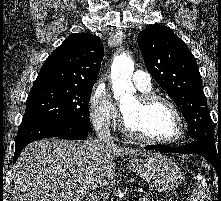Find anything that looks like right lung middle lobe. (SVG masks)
<instances>
[{
	"mask_svg": "<svg viewBox=\"0 0 221 201\" xmlns=\"http://www.w3.org/2000/svg\"><path fill=\"white\" fill-rule=\"evenodd\" d=\"M91 92V89L32 88L22 123L51 120L91 129L88 108Z\"/></svg>",
	"mask_w": 221,
	"mask_h": 201,
	"instance_id": "obj_1",
	"label": "right lung middle lobe"
}]
</instances>
